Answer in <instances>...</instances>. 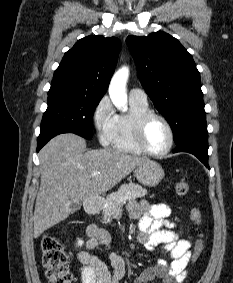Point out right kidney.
<instances>
[{"label": "right kidney", "instance_id": "right-kidney-1", "mask_svg": "<svg viewBox=\"0 0 233 283\" xmlns=\"http://www.w3.org/2000/svg\"><path fill=\"white\" fill-rule=\"evenodd\" d=\"M83 241L82 240H78V246H82Z\"/></svg>", "mask_w": 233, "mask_h": 283}]
</instances>
